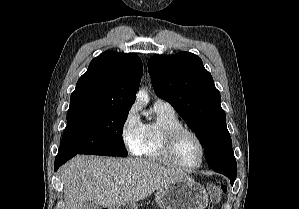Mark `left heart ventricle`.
<instances>
[{"label":"left heart ventricle","instance_id":"left-heart-ventricle-1","mask_svg":"<svg viewBox=\"0 0 299 209\" xmlns=\"http://www.w3.org/2000/svg\"><path fill=\"white\" fill-rule=\"evenodd\" d=\"M176 158L185 166H195L201 158V149L194 137L182 135L176 146Z\"/></svg>","mask_w":299,"mask_h":209}]
</instances>
